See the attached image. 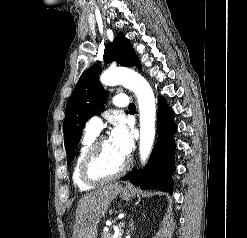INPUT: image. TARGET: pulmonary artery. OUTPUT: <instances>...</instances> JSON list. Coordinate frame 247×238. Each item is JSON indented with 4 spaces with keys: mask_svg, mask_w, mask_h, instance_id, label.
I'll list each match as a JSON object with an SVG mask.
<instances>
[{
    "mask_svg": "<svg viewBox=\"0 0 247 238\" xmlns=\"http://www.w3.org/2000/svg\"><path fill=\"white\" fill-rule=\"evenodd\" d=\"M113 104L117 107H126L129 105V99L125 94H118L113 98ZM102 120L99 116L91 117L86 123V130L99 133L102 128Z\"/></svg>",
    "mask_w": 247,
    "mask_h": 238,
    "instance_id": "obj_1",
    "label": "pulmonary artery"
}]
</instances>
